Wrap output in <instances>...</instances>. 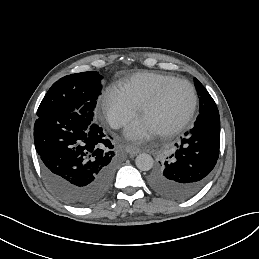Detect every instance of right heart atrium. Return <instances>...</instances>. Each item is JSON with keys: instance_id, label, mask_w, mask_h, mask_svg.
Segmentation results:
<instances>
[{"instance_id": "right-heart-atrium-1", "label": "right heart atrium", "mask_w": 259, "mask_h": 259, "mask_svg": "<svg viewBox=\"0 0 259 259\" xmlns=\"http://www.w3.org/2000/svg\"><path fill=\"white\" fill-rule=\"evenodd\" d=\"M100 114L114 128L125 126L138 117L141 106L129 97L121 87L109 85L98 97Z\"/></svg>"}]
</instances>
